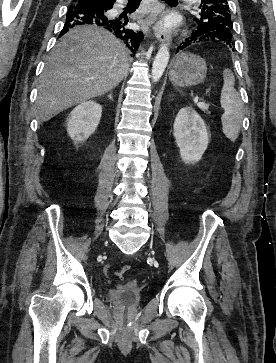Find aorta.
I'll return each instance as SVG.
<instances>
[{
    "mask_svg": "<svg viewBox=\"0 0 276 363\" xmlns=\"http://www.w3.org/2000/svg\"><path fill=\"white\" fill-rule=\"evenodd\" d=\"M169 48L167 45H162L157 52V55L152 64V79L154 82H158L162 77L167 64L169 62Z\"/></svg>",
    "mask_w": 276,
    "mask_h": 363,
    "instance_id": "aorta-1",
    "label": "aorta"
}]
</instances>
